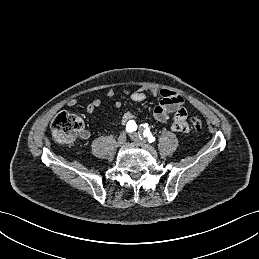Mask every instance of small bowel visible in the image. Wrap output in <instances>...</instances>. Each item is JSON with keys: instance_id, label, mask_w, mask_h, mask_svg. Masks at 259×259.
<instances>
[{"instance_id": "small-bowel-1", "label": "small bowel", "mask_w": 259, "mask_h": 259, "mask_svg": "<svg viewBox=\"0 0 259 259\" xmlns=\"http://www.w3.org/2000/svg\"><path fill=\"white\" fill-rule=\"evenodd\" d=\"M125 93L129 94L132 101L135 103H141L145 101L147 93L152 96L160 95L161 99L159 103L155 106L153 110L154 118L159 122H167L170 118V115L173 114L171 129L176 132L186 133L189 131V125L186 121L187 119V110L184 107V98L182 95L172 91L170 89H161L158 91L155 88H149L147 90L137 89V90H125ZM114 95L113 90H108L106 96L111 98ZM101 99L97 98L91 101L87 107L86 111L89 114L94 113L101 106ZM76 100H70L68 105L74 106ZM133 119V114L131 112H126L122 116V122L127 124L130 120ZM90 136L88 130H83L80 133L82 139H87Z\"/></svg>"}]
</instances>
